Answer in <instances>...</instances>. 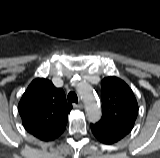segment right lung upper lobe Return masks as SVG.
<instances>
[{
  "mask_svg": "<svg viewBox=\"0 0 160 158\" xmlns=\"http://www.w3.org/2000/svg\"><path fill=\"white\" fill-rule=\"evenodd\" d=\"M71 109L64 91L45 78L33 80L18 105L24 128L42 141H52L63 133Z\"/></svg>",
  "mask_w": 160,
  "mask_h": 158,
  "instance_id": "cb5924a9",
  "label": "right lung upper lobe"
}]
</instances>
